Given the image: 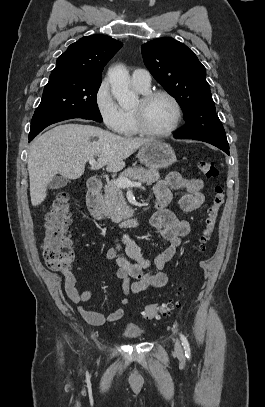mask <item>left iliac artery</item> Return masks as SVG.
Instances as JSON below:
<instances>
[{
	"mask_svg": "<svg viewBox=\"0 0 265 407\" xmlns=\"http://www.w3.org/2000/svg\"><path fill=\"white\" fill-rule=\"evenodd\" d=\"M180 338L182 340V345H183V347L185 349V355H186L187 358H190L191 351H190L188 341H187L186 337L183 334H180Z\"/></svg>",
	"mask_w": 265,
	"mask_h": 407,
	"instance_id": "left-iliac-artery-1",
	"label": "left iliac artery"
}]
</instances>
